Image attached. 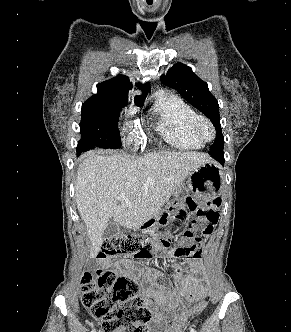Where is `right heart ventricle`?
Here are the masks:
<instances>
[{"label": "right heart ventricle", "instance_id": "obj_1", "mask_svg": "<svg viewBox=\"0 0 291 332\" xmlns=\"http://www.w3.org/2000/svg\"><path fill=\"white\" fill-rule=\"evenodd\" d=\"M153 112L157 115V129L166 142L180 149H200L204 142L193 132L199 114L184 99L168 95L157 99Z\"/></svg>", "mask_w": 291, "mask_h": 332}]
</instances>
